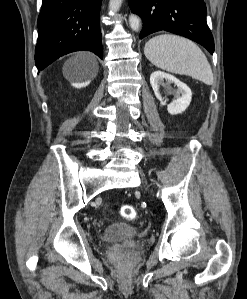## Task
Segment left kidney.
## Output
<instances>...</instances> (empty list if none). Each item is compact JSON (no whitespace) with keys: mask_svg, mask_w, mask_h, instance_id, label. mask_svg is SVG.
<instances>
[{"mask_svg":"<svg viewBox=\"0 0 247 299\" xmlns=\"http://www.w3.org/2000/svg\"><path fill=\"white\" fill-rule=\"evenodd\" d=\"M164 80L167 83H164ZM171 83L177 86L175 91V99L168 104V112L172 115L180 114L184 112L190 105L192 92L191 89L179 79L173 75L164 73L162 71H155L150 76V84L157 98L162 99L161 93L159 92V87H167Z\"/></svg>","mask_w":247,"mask_h":299,"instance_id":"obj_1","label":"left kidney"}]
</instances>
